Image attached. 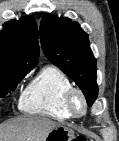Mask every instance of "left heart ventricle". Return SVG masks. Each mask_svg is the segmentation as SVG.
Masks as SVG:
<instances>
[{
  "mask_svg": "<svg viewBox=\"0 0 119 141\" xmlns=\"http://www.w3.org/2000/svg\"><path fill=\"white\" fill-rule=\"evenodd\" d=\"M76 106H77V107H79V106H80V103H79V101H77V102H76Z\"/></svg>",
  "mask_w": 119,
  "mask_h": 141,
  "instance_id": "obj_1",
  "label": "left heart ventricle"
}]
</instances>
